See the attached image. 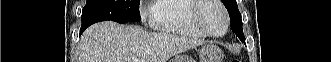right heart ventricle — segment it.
<instances>
[{
    "instance_id": "e07e8e85",
    "label": "right heart ventricle",
    "mask_w": 331,
    "mask_h": 62,
    "mask_svg": "<svg viewBox=\"0 0 331 62\" xmlns=\"http://www.w3.org/2000/svg\"><path fill=\"white\" fill-rule=\"evenodd\" d=\"M194 0H160L153 8L151 16L161 31L195 39L205 37L190 20Z\"/></svg>"
}]
</instances>
